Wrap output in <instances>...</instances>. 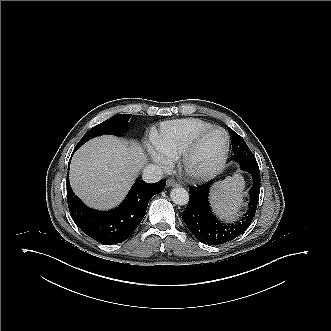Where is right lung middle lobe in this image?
I'll return each mask as SVG.
<instances>
[{
    "instance_id": "obj_1",
    "label": "right lung middle lobe",
    "mask_w": 331,
    "mask_h": 331,
    "mask_svg": "<svg viewBox=\"0 0 331 331\" xmlns=\"http://www.w3.org/2000/svg\"><path fill=\"white\" fill-rule=\"evenodd\" d=\"M130 117V114H118L94 126L83 136L77 146L80 147L86 141L103 134L121 136L129 128L128 120L130 119Z\"/></svg>"
}]
</instances>
